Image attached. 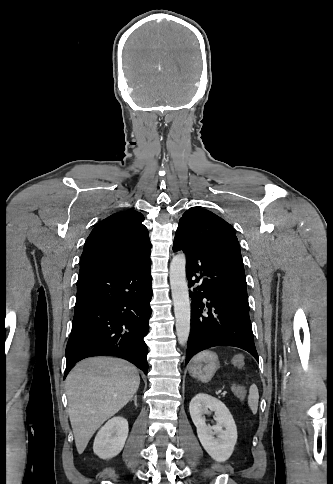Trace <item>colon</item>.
I'll list each match as a JSON object with an SVG mask.
<instances>
[{"instance_id":"colon-1","label":"colon","mask_w":333,"mask_h":484,"mask_svg":"<svg viewBox=\"0 0 333 484\" xmlns=\"http://www.w3.org/2000/svg\"><path fill=\"white\" fill-rule=\"evenodd\" d=\"M233 364L238 367V368H242L244 366V359L243 357L241 356H237L233 359ZM232 390L234 392V394L243 399L245 398L246 396V389L244 386L240 385V384H237V383H233L232 385Z\"/></svg>"}]
</instances>
